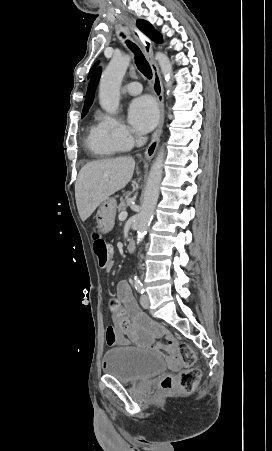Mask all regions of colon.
I'll use <instances>...</instances> for the list:
<instances>
[{"mask_svg":"<svg viewBox=\"0 0 272 451\" xmlns=\"http://www.w3.org/2000/svg\"><path fill=\"white\" fill-rule=\"evenodd\" d=\"M94 251L97 257V262L100 267H105L109 263L112 248L103 239L98 238L95 234ZM108 348H121V339H116V327L110 326L108 328ZM167 351H174L173 357L177 364L189 367L175 376L166 375L161 379L160 387L168 390L174 387L185 391L192 392L200 377V370L196 362V351L191 350L190 342H167L165 345Z\"/></svg>","mask_w":272,"mask_h":451,"instance_id":"colon-1","label":"colon"}]
</instances>
